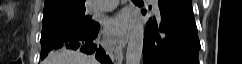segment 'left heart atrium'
I'll list each match as a JSON object with an SVG mask.
<instances>
[{
  "mask_svg": "<svg viewBox=\"0 0 242 64\" xmlns=\"http://www.w3.org/2000/svg\"><path fill=\"white\" fill-rule=\"evenodd\" d=\"M129 24V15L121 12L107 21L106 31L111 35H119L128 29Z\"/></svg>",
  "mask_w": 242,
  "mask_h": 64,
  "instance_id": "obj_1",
  "label": "left heart atrium"
}]
</instances>
